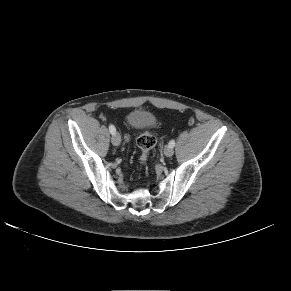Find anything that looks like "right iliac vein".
Segmentation results:
<instances>
[{
  "instance_id": "obj_1",
  "label": "right iliac vein",
  "mask_w": 291,
  "mask_h": 291,
  "mask_svg": "<svg viewBox=\"0 0 291 291\" xmlns=\"http://www.w3.org/2000/svg\"><path fill=\"white\" fill-rule=\"evenodd\" d=\"M112 144L114 146H119L121 143V136L118 132H115V134H113L112 138H111Z\"/></svg>"
}]
</instances>
